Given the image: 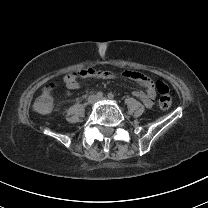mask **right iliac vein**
Instances as JSON below:
<instances>
[{
	"instance_id": "right-iliac-vein-1",
	"label": "right iliac vein",
	"mask_w": 208,
	"mask_h": 208,
	"mask_svg": "<svg viewBox=\"0 0 208 208\" xmlns=\"http://www.w3.org/2000/svg\"><path fill=\"white\" fill-rule=\"evenodd\" d=\"M97 101V97L95 95H90L87 99L88 104H94Z\"/></svg>"
}]
</instances>
